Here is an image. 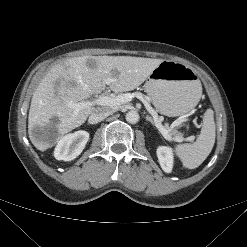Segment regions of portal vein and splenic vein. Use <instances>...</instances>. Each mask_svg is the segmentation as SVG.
Wrapping results in <instances>:
<instances>
[{"label": "portal vein and splenic vein", "mask_w": 247, "mask_h": 247, "mask_svg": "<svg viewBox=\"0 0 247 247\" xmlns=\"http://www.w3.org/2000/svg\"><path fill=\"white\" fill-rule=\"evenodd\" d=\"M112 81H113L112 79H107L106 83L110 84ZM134 97H137L138 99H140L143 102L146 109L153 116L158 130L161 132V134L163 135V137L166 140L177 141V142L183 141L182 137H179V136L172 137L169 134L168 130L161 124V121L158 118L157 113L154 111V109L150 106V104L146 101V99L144 98V96L141 93H136V94L126 93V94H121V95H118L115 97L99 95L98 97H96L95 99H93L91 101H83V102H79V103H73L72 101H70V102H68V105L74 109V114H77L81 109H83L85 107L94 106V105L115 107V106H119L121 104H125V103L131 101L132 98H134ZM187 140L191 141V140H193V137H189V138H187Z\"/></svg>", "instance_id": "18ae733b"}]
</instances>
